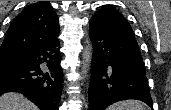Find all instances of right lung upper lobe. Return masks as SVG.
<instances>
[{
  "label": "right lung upper lobe",
  "mask_w": 171,
  "mask_h": 110,
  "mask_svg": "<svg viewBox=\"0 0 171 110\" xmlns=\"http://www.w3.org/2000/svg\"><path fill=\"white\" fill-rule=\"evenodd\" d=\"M59 31L57 15L49 2L40 1L26 6L7 30L0 55L28 53L56 39Z\"/></svg>",
  "instance_id": "obj_1"
}]
</instances>
